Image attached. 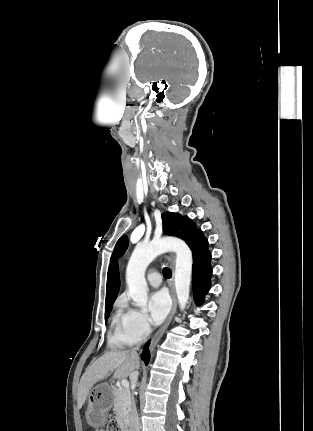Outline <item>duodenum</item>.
Instances as JSON below:
<instances>
[{"label":"duodenum","mask_w":313,"mask_h":431,"mask_svg":"<svg viewBox=\"0 0 313 431\" xmlns=\"http://www.w3.org/2000/svg\"><path fill=\"white\" fill-rule=\"evenodd\" d=\"M122 431H136L132 426L129 418L125 419L122 423Z\"/></svg>","instance_id":"410a0bca"}]
</instances>
